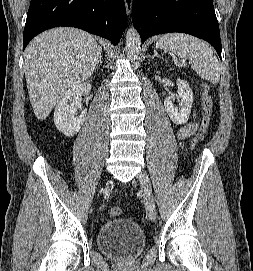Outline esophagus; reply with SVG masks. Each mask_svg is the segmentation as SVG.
<instances>
[{
  "mask_svg": "<svg viewBox=\"0 0 253 271\" xmlns=\"http://www.w3.org/2000/svg\"><path fill=\"white\" fill-rule=\"evenodd\" d=\"M126 13L130 16L132 11V0H125Z\"/></svg>",
  "mask_w": 253,
  "mask_h": 271,
  "instance_id": "34e87169",
  "label": "esophagus"
}]
</instances>
